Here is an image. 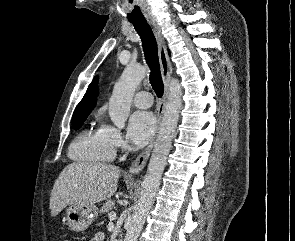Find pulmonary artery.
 I'll list each match as a JSON object with an SVG mask.
<instances>
[{"label": "pulmonary artery", "instance_id": "e3ab8cb5", "mask_svg": "<svg viewBox=\"0 0 295 241\" xmlns=\"http://www.w3.org/2000/svg\"><path fill=\"white\" fill-rule=\"evenodd\" d=\"M133 103L139 108H149L153 104V96L147 91H141L133 97Z\"/></svg>", "mask_w": 295, "mask_h": 241}]
</instances>
